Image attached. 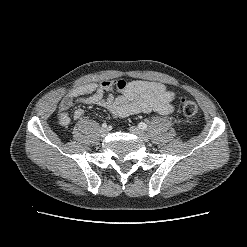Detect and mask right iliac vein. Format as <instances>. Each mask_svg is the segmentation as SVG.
Listing matches in <instances>:
<instances>
[{
	"label": "right iliac vein",
	"instance_id": "right-iliac-vein-1",
	"mask_svg": "<svg viewBox=\"0 0 247 247\" xmlns=\"http://www.w3.org/2000/svg\"><path fill=\"white\" fill-rule=\"evenodd\" d=\"M107 133H108V130L106 128H101L100 129V134H101L102 137L106 136Z\"/></svg>",
	"mask_w": 247,
	"mask_h": 247
}]
</instances>
